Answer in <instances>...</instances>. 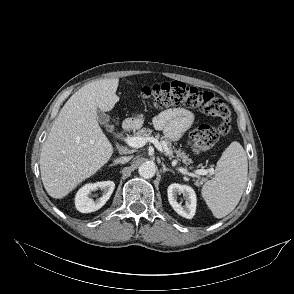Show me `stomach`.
Instances as JSON below:
<instances>
[{
  "instance_id": "obj_1",
  "label": "stomach",
  "mask_w": 294,
  "mask_h": 294,
  "mask_svg": "<svg viewBox=\"0 0 294 294\" xmlns=\"http://www.w3.org/2000/svg\"><path fill=\"white\" fill-rule=\"evenodd\" d=\"M144 114L143 113H138L133 117V123L136 127H141L144 122Z\"/></svg>"
}]
</instances>
